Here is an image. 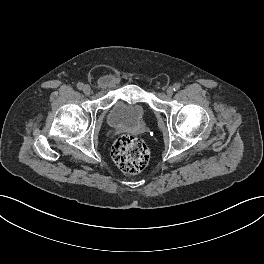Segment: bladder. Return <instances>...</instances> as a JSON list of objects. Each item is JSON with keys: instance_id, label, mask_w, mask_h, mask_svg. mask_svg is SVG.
<instances>
[{"instance_id": "bladder-1", "label": "bladder", "mask_w": 264, "mask_h": 264, "mask_svg": "<svg viewBox=\"0 0 264 264\" xmlns=\"http://www.w3.org/2000/svg\"><path fill=\"white\" fill-rule=\"evenodd\" d=\"M148 112L141 102L116 101L106 116V123L112 128L133 127L140 124Z\"/></svg>"}]
</instances>
